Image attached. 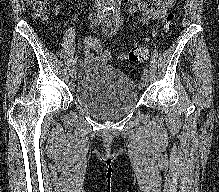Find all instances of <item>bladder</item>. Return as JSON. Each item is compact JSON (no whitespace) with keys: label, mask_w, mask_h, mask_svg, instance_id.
Here are the masks:
<instances>
[{"label":"bladder","mask_w":219,"mask_h":192,"mask_svg":"<svg viewBox=\"0 0 219 192\" xmlns=\"http://www.w3.org/2000/svg\"><path fill=\"white\" fill-rule=\"evenodd\" d=\"M73 99L86 114L115 120L139 103V86L114 66L92 62L83 66Z\"/></svg>","instance_id":"obj_1"}]
</instances>
